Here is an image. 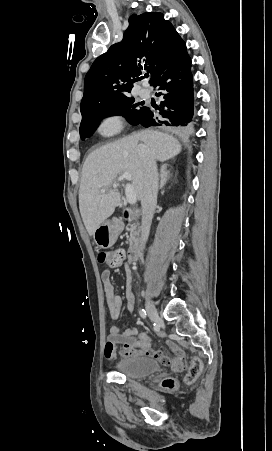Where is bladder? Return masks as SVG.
I'll use <instances>...</instances> for the list:
<instances>
[{
	"label": "bladder",
	"instance_id": "bladder-1",
	"mask_svg": "<svg viewBox=\"0 0 272 451\" xmlns=\"http://www.w3.org/2000/svg\"><path fill=\"white\" fill-rule=\"evenodd\" d=\"M115 372L129 378H145L157 374L161 364L147 355L123 357L114 362Z\"/></svg>",
	"mask_w": 272,
	"mask_h": 451
}]
</instances>
